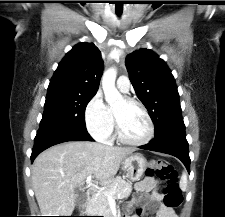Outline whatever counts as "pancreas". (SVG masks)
Masks as SVG:
<instances>
[{
    "label": "pancreas",
    "mask_w": 225,
    "mask_h": 217,
    "mask_svg": "<svg viewBox=\"0 0 225 217\" xmlns=\"http://www.w3.org/2000/svg\"><path fill=\"white\" fill-rule=\"evenodd\" d=\"M132 191V184L120 176L109 183L105 189L101 192L96 193L88 203V211L92 214L104 217H113L111 209L109 207V198L106 193H114L112 197L116 198H127Z\"/></svg>",
    "instance_id": "1"
}]
</instances>
